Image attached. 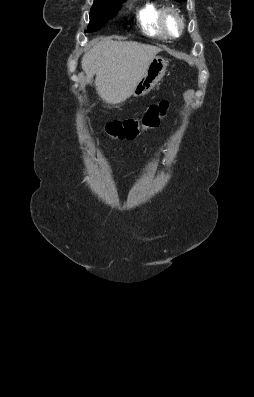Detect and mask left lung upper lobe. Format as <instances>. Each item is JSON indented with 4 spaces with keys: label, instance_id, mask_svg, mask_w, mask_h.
Listing matches in <instances>:
<instances>
[{
    "label": "left lung upper lobe",
    "instance_id": "left-lung-upper-lobe-1",
    "mask_svg": "<svg viewBox=\"0 0 254 397\" xmlns=\"http://www.w3.org/2000/svg\"><path fill=\"white\" fill-rule=\"evenodd\" d=\"M175 1H178V2H185L186 0H175Z\"/></svg>",
    "mask_w": 254,
    "mask_h": 397
}]
</instances>
